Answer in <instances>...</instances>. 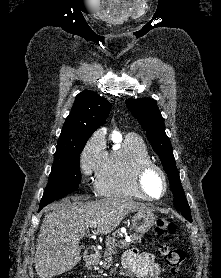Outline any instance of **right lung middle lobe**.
Instances as JSON below:
<instances>
[{
  "label": "right lung middle lobe",
  "instance_id": "right-lung-middle-lobe-1",
  "mask_svg": "<svg viewBox=\"0 0 221 278\" xmlns=\"http://www.w3.org/2000/svg\"><path fill=\"white\" fill-rule=\"evenodd\" d=\"M85 144L86 142L56 150L52 171L49 175L48 184L39 208H43L47 204L63 198L78 188L81 180L79 167L80 153L84 149Z\"/></svg>",
  "mask_w": 221,
  "mask_h": 278
}]
</instances>
